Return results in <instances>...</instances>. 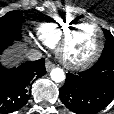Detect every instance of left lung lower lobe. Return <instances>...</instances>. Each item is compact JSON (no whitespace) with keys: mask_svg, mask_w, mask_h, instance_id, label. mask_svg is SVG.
I'll return each mask as SVG.
<instances>
[{"mask_svg":"<svg viewBox=\"0 0 114 114\" xmlns=\"http://www.w3.org/2000/svg\"><path fill=\"white\" fill-rule=\"evenodd\" d=\"M59 97L76 114H95L114 97V57L101 56L90 69L68 73Z\"/></svg>","mask_w":114,"mask_h":114,"instance_id":"0a47b994","label":"left lung lower lobe"}]
</instances>
